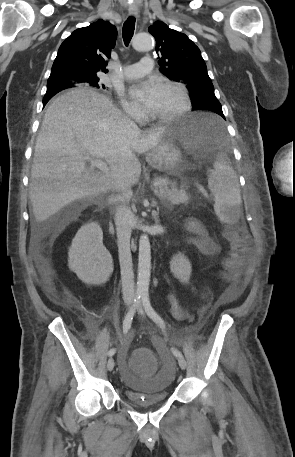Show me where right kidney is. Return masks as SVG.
<instances>
[{
  "mask_svg": "<svg viewBox=\"0 0 295 457\" xmlns=\"http://www.w3.org/2000/svg\"><path fill=\"white\" fill-rule=\"evenodd\" d=\"M68 266L85 284L102 285L108 280L113 262L97 223H87L78 230L68 252Z\"/></svg>",
  "mask_w": 295,
  "mask_h": 457,
  "instance_id": "right-kidney-1",
  "label": "right kidney"
}]
</instances>
